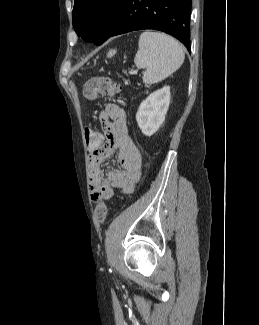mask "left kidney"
Listing matches in <instances>:
<instances>
[{
    "label": "left kidney",
    "instance_id": "1",
    "mask_svg": "<svg viewBox=\"0 0 259 325\" xmlns=\"http://www.w3.org/2000/svg\"><path fill=\"white\" fill-rule=\"evenodd\" d=\"M170 103V87L151 93L139 106L136 120L142 133L153 135L165 120Z\"/></svg>",
    "mask_w": 259,
    "mask_h": 325
}]
</instances>
